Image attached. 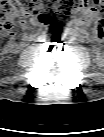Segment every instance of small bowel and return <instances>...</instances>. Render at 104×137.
<instances>
[{
    "label": "small bowel",
    "mask_w": 104,
    "mask_h": 137,
    "mask_svg": "<svg viewBox=\"0 0 104 137\" xmlns=\"http://www.w3.org/2000/svg\"><path fill=\"white\" fill-rule=\"evenodd\" d=\"M99 22L100 16L98 12L93 9H86L72 21V27L68 29V33L73 37L86 38L91 43L95 62L98 65H102L104 62V55L102 50L99 48V40L87 32L88 28H90L93 24H98ZM31 23L33 25H37L39 21L35 19ZM20 26L23 33L19 41H16V37L13 32L3 33V35L8 38V41L2 48V54H15L26 47L34 39V36L28 33V25L25 21H22Z\"/></svg>",
    "instance_id": "obj_1"
}]
</instances>
